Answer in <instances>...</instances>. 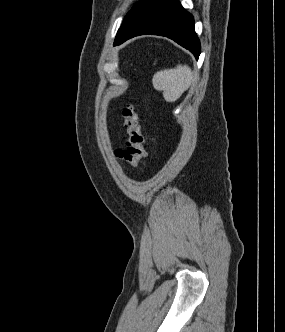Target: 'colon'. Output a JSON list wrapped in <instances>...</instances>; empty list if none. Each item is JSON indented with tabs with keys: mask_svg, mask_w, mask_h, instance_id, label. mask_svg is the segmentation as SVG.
<instances>
[{
	"mask_svg": "<svg viewBox=\"0 0 285 332\" xmlns=\"http://www.w3.org/2000/svg\"><path fill=\"white\" fill-rule=\"evenodd\" d=\"M121 118L127 133L125 147L115 150L116 157L124 165L136 167L144 158V136L142 134L138 112L132 104H127Z\"/></svg>",
	"mask_w": 285,
	"mask_h": 332,
	"instance_id": "5ec220e1",
	"label": "colon"
}]
</instances>
